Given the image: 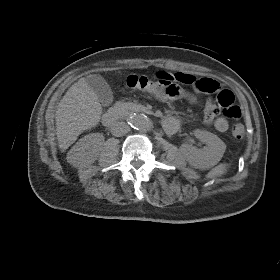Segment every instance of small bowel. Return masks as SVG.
<instances>
[{"label":"small bowel","mask_w":280,"mask_h":280,"mask_svg":"<svg viewBox=\"0 0 280 280\" xmlns=\"http://www.w3.org/2000/svg\"><path fill=\"white\" fill-rule=\"evenodd\" d=\"M177 74L180 75V77L183 81V85L191 87L194 92H198V93H203L200 90V88H204L206 86V83L209 81H212V82H215L216 84H218V82L213 79L197 78L193 75H190L187 73H182V72H178ZM218 86H219V84H218ZM183 98L186 99L187 101H189L191 104H195L197 102L196 97L192 93H189V92L184 91ZM212 104L213 103L211 101L206 102L205 109H204V120L208 123L212 122L214 125V128L218 132H222V133L226 132L229 128V124L225 118L217 117V118H213V119H207L211 112ZM181 124H182L181 119L178 117H174V116L167 117L162 122L163 128L170 135L177 133L179 131V129L181 128Z\"/></svg>","instance_id":"1"}]
</instances>
